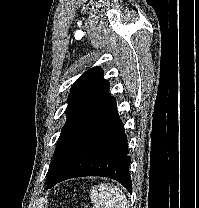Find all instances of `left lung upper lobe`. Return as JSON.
Wrapping results in <instances>:
<instances>
[{
	"mask_svg": "<svg viewBox=\"0 0 199 208\" xmlns=\"http://www.w3.org/2000/svg\"><path fill=\"white\" fill-rule=\"evenodd\" d=\"M109 88L110 84L103 79V71L100 67L89 69L73 84L68 97V119L59 137L46 181L53 172L55 160L64 142L87 117L110 98Z\"/></svg>",
	"mask_w": 199,
	"mask_h": 208,
	"instance_id": "obj_1",
	"label": "left lung upper lobe"
}]
</instances>
